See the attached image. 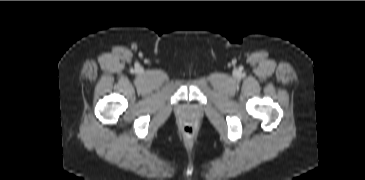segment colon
<instances>
[{
	"mask_svg": "<svg viewBox=\"0 0 365 180\" xmlns=\"http://www.w3.org/2000/svg\"><path fill=\"white\" fill-rule=\"evenodd\" d=\"M184 132H185L187 135H190V134H192L193 130H192V128H191V127L186 126V127L184 128Z\"/></svg>",
	"mask_w": 365,
	"mask_h": 180,
	"instance_id": "colon-1",
	"label": "colon"
}]
</instances>
